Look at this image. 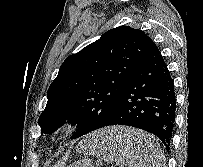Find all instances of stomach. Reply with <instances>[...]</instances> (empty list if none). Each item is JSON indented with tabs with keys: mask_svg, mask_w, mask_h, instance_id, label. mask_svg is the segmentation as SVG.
I'll return each mask as SVG.
<instances>
[{
	"mask_svg": "<svg viewBox=\"0 0 203 167\" xmlns=\"http://www.w3.org/2000/svg\"><path fill=\"white\" fill-rule=\"evenodd\" d=\"M111 129V128H110ZM107 129L104 130V131H99L97 132L96 134H99L102 136V134H107L106 133ZM104 137V136H103ZM108 139H114V138H111V137H105V140H108ZM83 151V150H82ZM84 152V151H83ZM119 152V151H117ZM68 167H94L93 164L91 163L90 160H80L74 164H72L71 166H68Z\"/></svg>",
	"mask_w": 203,
	"mask_h": 167,
	"instance_id": "1",
	"label": "stomach"
}]
</instances>
